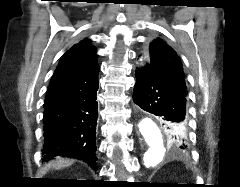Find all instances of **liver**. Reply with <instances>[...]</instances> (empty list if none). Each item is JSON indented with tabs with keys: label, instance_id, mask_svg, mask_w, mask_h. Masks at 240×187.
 <instances>
[{
	"label": "liver",
	"instance_id": "obj_1",
	"mask_svg": "<svg viewBox=\"0 0 240 187\" xmlns=\"http://www.w3.org/2000/svg\"><path fill=\"white\" fill-rule=\"evenodd\" d=\"M72 160L69 159H65V158H56L54 161L49 162L48 164H46L45 166V171L48 168H56V169H60L62 167H66V166H70L72 164Z\"/></svg>",
	"mask_w": 240,
	"mask_h": 187
}]
</instances>
